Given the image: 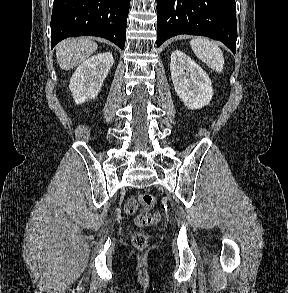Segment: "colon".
Wrapping results in <instances>:
<instances>
[{"label":"colon","instance_id":"5ec220e1","mask_svg":"<svg viewBox=\"0 0 288 293\" xmlns=\"http://www.w3.org/2000/svg\"><path fill=\"white\" fill-rule=\"evenodd\" d=\"M153 205L154 197L150 194L144 193L138 195L136 198L130 199L125 205V210L129 214L138 211L139 213L136 217V224L139 226H149L154 224L159 218V214L149 213ZM148 244L149 238L144 233H137L132 238V245L138 251L145 250Z\"/></svg>","mask_w":288,"mask_h":293}]
</instances>
